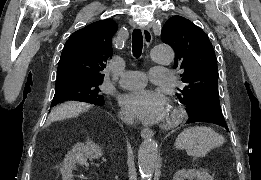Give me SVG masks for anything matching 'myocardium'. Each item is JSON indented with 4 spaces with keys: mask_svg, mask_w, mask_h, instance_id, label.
Segmentation results:
<instances>
[{
    "mask_svg": "<svg viewBox=\"0 0 261 180\" xmlns=\"http://www.w3.org/2000/svg\"><path fill=\"white\" fill-rule=\"evenodd\" d=\"M181 118V112L174 101H170L160 119V127L163 129L173 128Z\"/></svg>",
    "mask_w": 261,
    "mask_h": 180,
    "instance_id": "obj_1",
    "label": "myocardium"
}]
</instances>
